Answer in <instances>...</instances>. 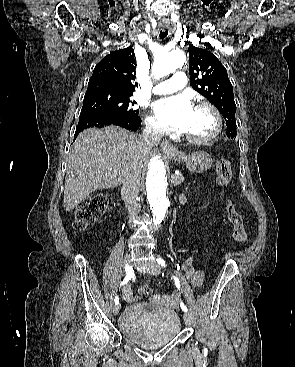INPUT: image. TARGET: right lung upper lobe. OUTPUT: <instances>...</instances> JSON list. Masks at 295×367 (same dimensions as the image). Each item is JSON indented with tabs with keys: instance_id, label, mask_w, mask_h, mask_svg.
I'll return each instance as SVG.
<instances>
[{
	"instance_id": "cb5924a9",
	"label": "right lung upper lobe",
	"mask_w": 295,
	"mask_h": 367,
	"mask_svg": "<svg viewBox=\"0 0 295 367\" xmlns=\"http://www.w3.org/2000/svg\"><path fill=\"white\" fill-rule=\"evenodd\" d=\"M135 54L132 47L111 52L94 68L88 89H104L121 94H133L138 86Z\"/></svg>"
}]
</instances>
